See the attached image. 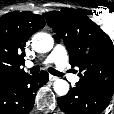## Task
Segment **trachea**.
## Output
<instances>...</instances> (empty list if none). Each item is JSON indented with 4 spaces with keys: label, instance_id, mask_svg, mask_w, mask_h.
Returning <instances> with one entry per match:
<instances>
[{
    "label": "trachea",
    "instance_id": "3493384b",
    "mask_svg": "<svg viewBox=\"0 0 114 114\" xmlns=\"http://www.w3.org/2000/svg\"><path fill=\"white\" fill-rule=\"evenodd\" d=\"M40 71V67L39 66H34L30 69V73L31 74H36ZM48 71L54 75V76H63V73L53 69V68H48Z\"/></svg>",
    "mask_w": 114,
    "mask_h": 114
}]
</instances>
